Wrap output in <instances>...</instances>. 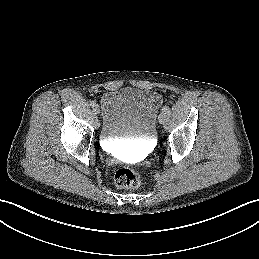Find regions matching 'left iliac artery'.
Wrapping results in <instances>:
<instances>
[{
  "instance_id": "44dca946",
  "label": "left iliac artery",
  "mask_w": 259,
  "mask_h": 259,
  "mask_svg": "<svg viewBox=\"0 0 259 259\" xmlns=\"http://www.w3.org/2000/svg\"><path fill=\"white\" fill-rule=\"evenodd\" d=\"M168 111H169V106L166 105L162 108V112L167 113Z\"/></svg>"
}]
</instances>
